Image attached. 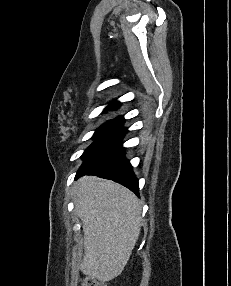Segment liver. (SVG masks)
Listing matches in <instances>:
<instances>
[{
    "instance_id": "obj_1",
    "label": "liver",
    "mask_w": 231,
    "mask_h": 286,
    "mask_svg": "<svg viewBox=\"0 0 231 286\" xmlns=\"http://www.w3.org/2000/svg\"><path fill=\"white\" fill-rule=\"evenodd\" d=\"M75 203L84 232L80 268L88 277L110 281L121 274L139 238L141 202L120 184L87 176L77 182Z\"/></svg>"
}]
</instances>
